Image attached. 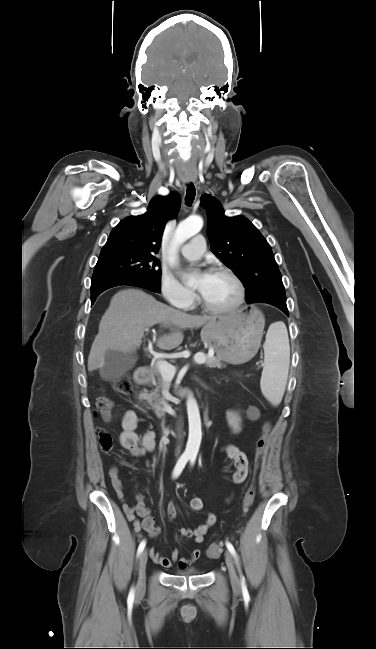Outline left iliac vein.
<instances>
[{
  "label": "left iliac vein",
  "instance_id": "obj_1",
  "mask_svg": "<svg viewBox=\"0 0 376 649\" xmlns=\"http://www.w3.org/2000/svg\"><path fill=\"white\" fill-rule=\"evenodd\" d=\"M225 561H226V565H227V568H228V572H229V576H230V580H231L233 588L236 589V590H240V588H241L240 580H239V578L237 576V573H236V570H235L233 556L229 551L225 552Z\"/></svg>",
  "mask_w": 376,
  "mask_h": 649
}]
</instances>
